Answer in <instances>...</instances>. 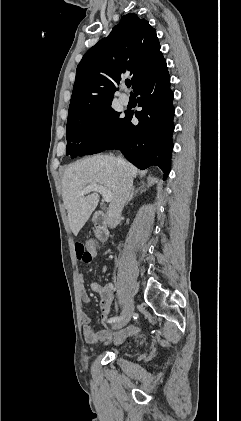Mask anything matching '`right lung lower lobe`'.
<instances>
[{
  "mask_svg": "<svg viewBox=\"0 0 241 421\" xmlns=\"http://www.w3.org/2000/svg\"><path fill=\"white\" fill-rule=\"evenodd\" d=\"M138 97L136 112L138 125H133V113H127L125 128L119 138L106 150L120 149L125 158L140 169L158 166L165 173L170 172V158L174 131L173 92L166 61L162 57L133 89Z\"/></svg>",
  "mask_w": 241,
  "mask_h": 421,
  "instance_id": "right-lung-lower-lobe-1",
  "label": "right lung lower lobe"
}]
</instances>
